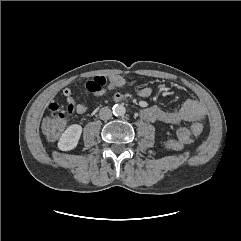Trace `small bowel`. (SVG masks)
I'll return each mask as SVG.
<instances>
[{"label":"small bowel","instance_id":"small-bowel-1","mask_svg":"<svg viewBox=\"0 0 241 241\" xmlns=\"http://www.w3.org/2000/svg\"><path fill=\"white\" fill-rule=\"evenodd\" d=\"M111 87L124 89L126 81L121 76H111L109 78ZM68 104H73L79 114L87 112L88 106L84 103L76 104L70 88L63 90ZM140 97H148L151 94V88L144 86L139 90ZM142 119L148 122L162 121L168 124L178 126L177 136L183 143L193 142L198 135L191 133V126L196 122H202L206 115L204 105L197 99L189 98L180 107L176 109H167L160 105L146 107L140 113Z\"/></svg>","mask_w":241,"mask_h":241}]
</instances>
